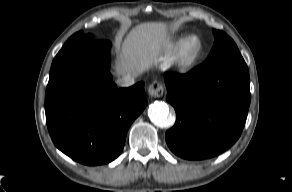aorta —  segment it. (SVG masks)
<instances>
[{"label": "aorta", "instance_id": "obj_1", "mask_svg": "<svg viewBox=\"0 0 292 192\" xmlns=\"http://www.w3.org/2000/svg\"><path fill=\"white\" fill-rule=\"evenodd\" d=\"M148 116L151 121L161 128L173 125V119L169 117V107L162 101H155L148 108Z\"/></svg>", "mask_w": 292, "mask_h": 192}]
</instances>
